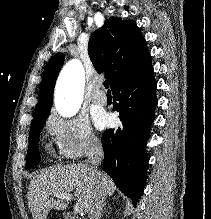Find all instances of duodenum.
<instances>
[{
    "label": "duodenum",
    "instance_id": "duodenum-1",
    "mask_svg": "<svg viewBox=\"0 0 211 219\" xmlns=\"http://www.w3.org/2000/svg\"><path fill=\"white\" fill-rule=\"evenodd\" d=\"M63 218L64 219H77L74 215L70 214L69 212H64Z\"/></svg>",
    "mask_w": 211,
    "mask_h": 219
}]
</instances>
